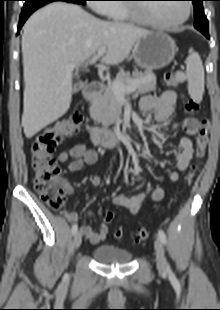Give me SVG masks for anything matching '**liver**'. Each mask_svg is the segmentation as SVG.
Returning <instances> with one entry per match:
<instances>
[{
	"instance_id": "obj_1",
	"label": "liver",
	"mask_w": 220,
	"mask_h": 310,
	"mask_svg": "<svg viewBox=\"0 0 220 310\" xmlns=\"http://www.w3.org/2000/svg\"><path fill=\"white\" fill-rule=\"evenodd\" d=\"M149 33L127 23L100 20L64 2L36 11L22 35L25 136L32 138L70 108L73 70L68 65H82L101 47H106L102 63L119 64L135 42Z\"/></svg>"
}]
</instances>
